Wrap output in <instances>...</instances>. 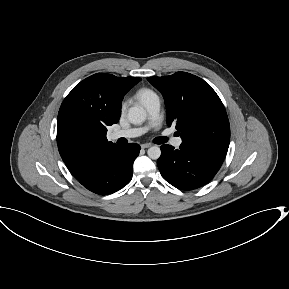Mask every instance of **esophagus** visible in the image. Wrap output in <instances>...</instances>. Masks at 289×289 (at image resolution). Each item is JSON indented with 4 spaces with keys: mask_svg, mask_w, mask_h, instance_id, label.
<instances>
[{
    "mask_svg": "<svg viewBox=\"0 0 289 289\" xmlns=\"http://www.w3.org/2000/svg\"><path fill=\"white\" fill-rule=\"evenodd\" d=\"M151 147V144L150 143H145V144H142L141 145V148L145 149V148H149Z\"/></svg>",
    "mask_w": 289,
    "mask_h": 289,
    "instance_id": "esophagus-1",
    "label": "esophagus"
}]
</instances>
